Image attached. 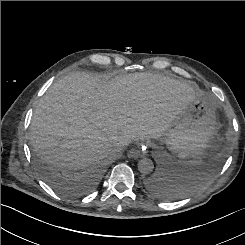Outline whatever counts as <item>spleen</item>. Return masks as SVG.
<instances>
[{
	"instance_id": "spleen-1",
	"label": "spleen",
	"mask_w": 245,
	"mask_h": 245,
	"mask_svg": "<svg viewBox=\"0 0 245 245\" xmlns=\"http://www.w3.org/2000/svg\"><path fill=\"white\" fill-rule=\"evenodd\" d=\"M190 164H191V165H200L201 162H199V161H194V162H191Z\"/></svg>"
}]
</instances>
